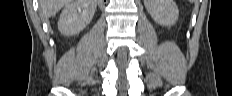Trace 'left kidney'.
<instances>
[{
  "label": "left kidney",
  "instance_id": "left-kidney-1",
  "mask_svg": "<svg viewBox=\"0 0 232 96\" xmlns=\"http://www.w3.org/2000/svg\"><path fill=\"white\" fill-rule=\"evenodd\" d=\"M144 5L153 20L162 26L174 25L179 10L173 0H144Z\"/></svg>",
  "mask_w": 232,
  "mask_h": 96
}]
</instances>
